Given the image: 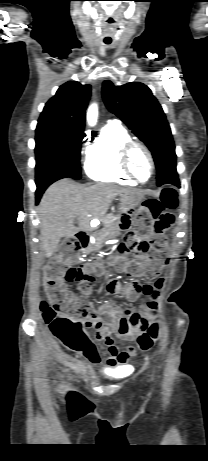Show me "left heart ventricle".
Segmentation results:
<instances>
[{
    "mask_svg": "<svg viewBox=\"0 0 208 461\" xmlns=\"http://www.w3.org/2000/svg\"><path fill=\"white\" fill-rule=\"evenodd\" d=\"M131 166L134 173L141 180H146L149 177L151 172L150 162L142 150L137 149L134 151L131 157Z\"/></svg>",
    "mask_w": 208,
    "mask_h": 461,
    "instance_id": "1",
    "label": "left heart ventricle"
}]
</instances>
